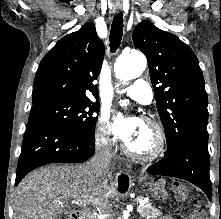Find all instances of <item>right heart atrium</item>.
Masks as SVG:
<instances>
[{
	"mask_svg": "<svg viewBox=\"0 0 221 219\" xmlns=\"http://www.w3.org/2000/svg\"><path fill=\"white\" fill-rule=\"evenodd\" d=\"M111 129L108 120V116L105 113H102L97 121L96 126V142L104 148H109L111 145Z\"/></svg>",
	"mask_w": 221,
	"mask_h": 219,
	"instance_id": "1",
	"label": "right heart atrium"
}]
</instances>
